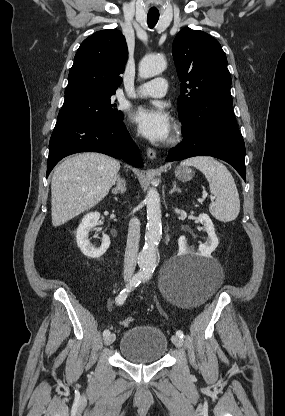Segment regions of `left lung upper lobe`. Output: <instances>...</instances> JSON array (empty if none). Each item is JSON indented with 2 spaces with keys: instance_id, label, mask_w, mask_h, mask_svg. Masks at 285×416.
<instances>
[{
  "instance_id": "left-lung-upper-lobe-1",
  "label": "left lung upper lobe",
  "mask_w": 285,
  "mask_h": 416,
  "mask_svg": "<svg viewBox=\"0 0 285 416\" xmlns=\"http://www.w3.org/2000/svg\"><path fill=\"white\" fill-rule=\"evenodd\" d=\"M173 58L181 83L178 97L183 134L218 120H235L231 76L220 43L209 34L182 29L173 41Z\"/></svg>"
}]
</instances>
